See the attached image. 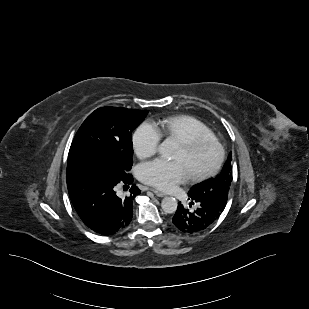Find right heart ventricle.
Wrapping results in <instances>:
<instances>
[{"instance_id":"right-heart-ventricle-1","label":"right heart ventricle","mask_w":309,"mask_h":309,"mask_svg":"<svg viewBox=\"0 0 309 309\" xmlns=\"http://www.w3.org/2000/svg\"><path fill=\"white\" fill-rule=\"evenodd\" d=\"M159 130L167 137L180 141L198 138L213 137L212 130L201 120L189 115H176L158 121Z\"/></svg>"}]
</instances>
